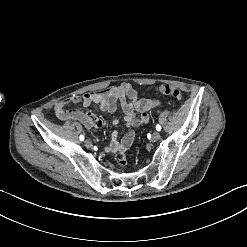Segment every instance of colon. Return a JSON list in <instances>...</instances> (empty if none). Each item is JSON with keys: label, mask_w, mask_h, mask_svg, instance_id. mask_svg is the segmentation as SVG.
Listing matches in <instances>:
<instances>
[{"label": "colon", "mask_w": 247, "mask_h": 247, "mask_svg": "<svg viewBox=\"0 0 247 247\" xmlns=\"http://www.w3.org/2000/svg\"><path fill=\"white\" fill-rule=\"evenodd\" d=\"M154 89L163 95L170 96L178 100L183 98V92L172 84L157 85L154 87Z\"/></svg>", "instance_id": "1"}]
</instances>
